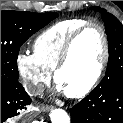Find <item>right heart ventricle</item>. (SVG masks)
Listing matches in <instances>:
<instances>
[{"mask_svg":"<svg viewBox=\"0 0 123 123\" xmlns=\"http://www.w3.org/2000/svg\"><path fill=\"white\" fill-rule=\"evenodd\" d=\"M87 22V20L75 18L53 24L34 40L33 54L45 68L52 71L68 37Z\"/></svg>","mask_w":123,"mask_h":123,"instance_id":"1","label":"right heart ventricle"}]
</instances>
